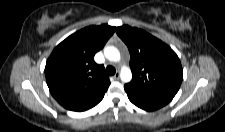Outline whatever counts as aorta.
<instances>
[{"mask_svg":"<svg viewBox=\"0 0 225 132\" xmlns=\"http://www.w3.org/2000/svg\"><path fill=\"white\" fill-rule=\"evenodd\" d=\"M104 55L109 61L119 62L120 61V52L114 46H106L104 48ZM120 78L124 83H128L132 79V73L130 68L123 66L120 70Z\"/></svg>","mask_w":225,"mask_h":132,"instance_id":"obj_1","label":"aorta"}]
</instances>
